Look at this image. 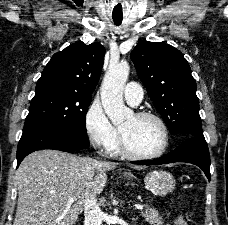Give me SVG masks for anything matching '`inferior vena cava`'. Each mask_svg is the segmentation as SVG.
I'll return each instance as SVG.
<instances>
[{"instance_id": "1", "label": "inferior vena cava", "mask_w": 228, "mask_h": 225, "mask_svg": "<svg viewBox=\"0 0 228 225\" xmlns=\"http://www.w3.org/2000/svg\"><path fill=\"white\" fill-rule=\"evenodd\" d=\"M89 195L86 199L84 217L85 225H102L103 213L97 203L96 193L93 191V183L88 185Z\"/></svg>"}]
</instances>
